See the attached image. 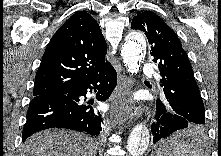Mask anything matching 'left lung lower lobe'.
<instances>
[{
    "mask_svg": "<svg viewBox=\"0 0 221 156\" xmlns=\"http://www.w3.org/2000/svg\"><path fill=\"white\" fill-rule=\"evenodd\" d=\"M156 109V122L152 124L153 143L193 124L182 116L168 112L160 100L157 101Z\"/></svg>",
    "mask_w": 221,
    "mask_h": 156,
    "instance_id": "0a47b994",
    "label": "left lung lower lobe"
}]
</instances>
